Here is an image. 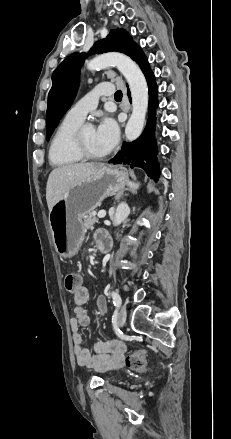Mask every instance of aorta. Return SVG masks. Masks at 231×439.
<instances>
[{"label":"aorta","mask_w":231,"mask_h":439,"mask_svg":"<svg viewBox=\"0 0 231 439\" xmlns=\"http://www.w3.org/2000/svg\"><path fill=\"white\" fill-rule=\"evenodd\" d=\"M115 66L125 77L129 84L132 97V114L125 128L127 140L137 139L144 127L148 108V86L139 66L127 55L110 52L96 56L87 63L89 70H98ZM130 208L127 203L121 202L115 212L113 225H120L129 215Z\"/></svg>","instance_id":"1"}]
</instances>
